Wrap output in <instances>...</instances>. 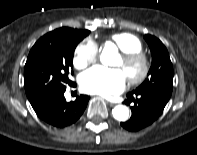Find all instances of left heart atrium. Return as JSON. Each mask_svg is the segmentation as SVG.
<instances>
[{
  "label": "left heart atrium",
  "mask_w": 197,
  "mask_h": 155,
  "mask_svg": "<svg viewBox=\"0 0 197 155\" xmlns=\"http://www.w3.org/2000/svg\"><path fill=\"white\" fill-rule=\"evenodd\" d=\"M79 84L85 93L109 96L125 88L126 78L120 69L95 66L80 75Z\"/></svg>",
  "instance_id": "39dd6f15"
}]
</instances>
